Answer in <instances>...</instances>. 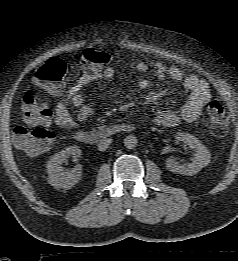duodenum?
I'll return each mask as SVG.
<instances>
[{"instance_id": "1", "label": "duodenum", "mask_w": 238, "mask_h": 261, "mask_svg": "<svg viewBox=\"0 0 238 261\" xmlns=\"http://www.w3.org/2000/svg\"><path fill=\"white\" fill-rule=\"evenodd\" d=\"M134 129L133 125L128 123H120L110 125L97 131H77L74 134L76 141L85 145H95L100 141L108 139L118 133H128Z\"/></svg>"}]
</instances>
